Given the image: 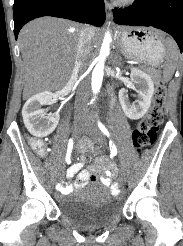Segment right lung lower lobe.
<instances>
[{
	"instance_id": "98d812e1",
	"label": "right lung lower lobe",
	"mask_w": 183,
	"mask_h": 246,
	"mask_svg": "<svg viewBox=\"0 0 183 246\" xmlns=\"http://www.w3.org/2000/svg\"><path fill=\"white\" fill-rule=\"evenodd\" d=\"M43 16L66 18L100 27L105 21L104 0H15V38L27 22Z\"/></svg>"
}]
</instances>
